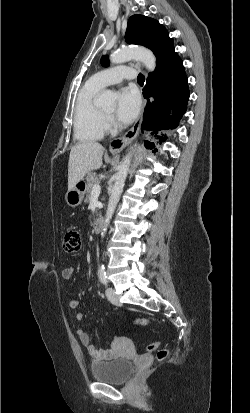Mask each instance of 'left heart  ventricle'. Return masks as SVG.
<instances>
[{
    "label": "left heart ventricle",
    "instance_id": "left-heart-ventricle-1",
    "mask_svg": "<svg viewBox=\"0 0 250 413\" xmlns=\"http://www.w3.org/2000/svg\"><path fill=\"white\" fill-rule=\"evenodd\" d=\"M108 112H111L112 110L111 109H109V110H107Z\"/></svg>",
    "mask_w": 250,
    "mask_h": 413
}]
</instances>
